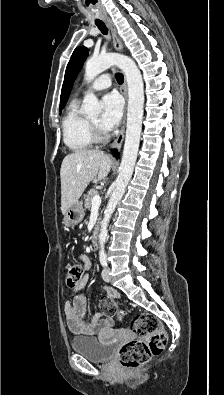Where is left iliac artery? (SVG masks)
Instances as JSON below:
<instances>
[{
	"label": "left iliac artery",
	"mask_w": 224,
	"mask_h": 395,
	"mask_svg": "<svg viewBox=\"0 0 224 395\" xmlns=\"http://www.w3.org/2000/svg\"><path fill=\"white\" fill-rule=\"evenodd\" d=\"M99 259H100V263L103 267L107 266V255L106 252L104 250H101L99 252Z\"/></svg>",
	"instance_id": "1"
}]
</instances>
